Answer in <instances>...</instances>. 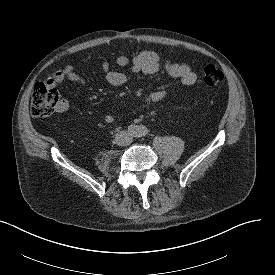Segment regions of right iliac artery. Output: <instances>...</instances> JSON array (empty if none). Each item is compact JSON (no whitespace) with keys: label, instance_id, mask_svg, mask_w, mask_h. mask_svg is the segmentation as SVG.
<instances>
[{"label":"right iliac artery","instance_id":"obj_1","mask_svg":"<svg viewBox=\"0 0 275 275\" xmlns=\"http://www.w3.org/2000/svg\"><path fill=\"white\" fill-rule=\"evenodd\" d=\"M130 131L133 132V133H136L137 132V127L134 126V125H131L130 126Z\"/></svg>","mask_w":275,"mask_h":275}]
</instances>
